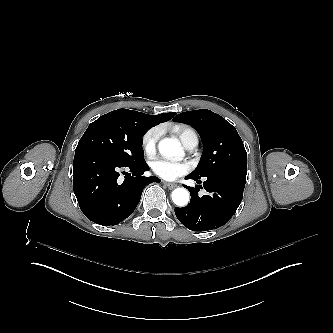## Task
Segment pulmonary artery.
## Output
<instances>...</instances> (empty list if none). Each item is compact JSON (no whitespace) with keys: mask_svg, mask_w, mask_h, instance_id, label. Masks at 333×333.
<instances>
[{"mask_svg":"<svg viewBox=\"0 0 333 333\" xmlns=\"http://www.w3.org/2000/svg\"><path fill=\"white\" fill-rule=\"evenodd\" d=\"M184 144L187 150H194L198 145L197 134L194 131L188 132Z\"/></svg>","mask_w":333,"mask_h":333,"instance_id":"1","label":"pulmonary artery"}]
</instances>
